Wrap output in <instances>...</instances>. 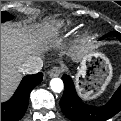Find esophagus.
I'll return each instance as SVG.
<instances>
[{
    "label": "esophagus",
    "instance_id": "1",
    "mask_svg": "<svg viewBox=\"0 0 121 121\" xmlns=\"http://www.w3.org/2000/svg\"><path fill=\"white\" fill-rule=\"evenodd\" d=\"M63 71V68L62 67H59V66H55L53 67L51 70H50V77H58Z\"/></svg>",
    "mask_w": 121,
    "mask_h": 121
}]
</instances>
